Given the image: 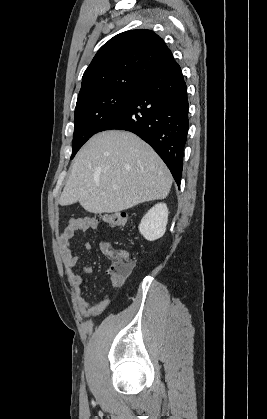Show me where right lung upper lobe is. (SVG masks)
I'll use <instances>...</instances> for the list:
<instances>
[{
  "mask_svg": "<svg viewBox=\"0 0 267 419\" xmlns=\"http://www.w3.org/2000/svg\"><path fill=\"white\" fill-rule=\"evenodd\" d=\"M164 40L147 29L120 33L105 43L84 72L77 101L129 85H140L174 63Z\"/></svg>",
  "mask_w": 267,
  "mask_h": 419,
  "instance_id": "right-lung-upper-lobe-1",
  "label": "right lung upper lobe"
}]
</instances>
